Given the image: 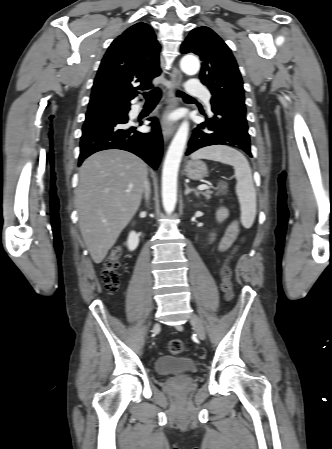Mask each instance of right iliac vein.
Returning <instances> with one entry per match:
<instances>
[{
    "label": "right iliac vein",
    "mask_w": 332,
    "mask_h": 449,
    "mask_svg": "<svg viewBox=\"0 0 332 449\" xmlns=\"http://www.w3.org/2000/svg\"><path fill=\"white\" fill-rule=\"evenodd\" d=\"M159 326V324L158 323H156L155 325H154V328H156V327H158Z\"/></svg>",
    "instance_id": "right-iliac-vein-1"
}]
</instances>
